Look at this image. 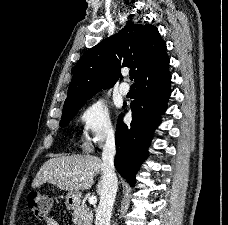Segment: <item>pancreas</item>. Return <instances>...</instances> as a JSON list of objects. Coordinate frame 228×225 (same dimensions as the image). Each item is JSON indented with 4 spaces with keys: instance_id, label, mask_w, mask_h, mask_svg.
Masks as SVG:
<instances>
[{
    "instance_id": "obj_1",
    "label": "pancreas",
    "mask_w": 228,
    "mask_h": 225,
    "mask_svg": "<svg viewBox=\"0 0 228 225\" xmlns=\"http://www.w3.org/2000/svg\"><path fill=\"white\" fill-rule=\"evenodd\" d=\"M73 225H92L93 213L88 207H75L73 209Z\"/></svg>"
}]
</instances>
